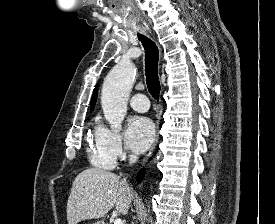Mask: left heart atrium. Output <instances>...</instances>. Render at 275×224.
<instances>
[{
  "label": "left heart atrium",
  "mask_w": 275,
  "mask_h": 224,
  "mask_svg": "<svg viewBox=\"0 0 275 224\" xmlns=\"http://www.w3.org/2000/svg\"><path fill=\"white\" fill-rule=\"evenodd\" d=\"M155 137L153 122L143 116H136L129 122L126 131V141L131 150L136 153L144 152Z\"/></svg>",
  "instance_id": "1"
}]
</instances>
